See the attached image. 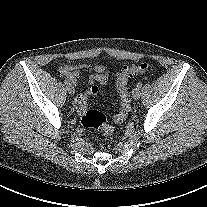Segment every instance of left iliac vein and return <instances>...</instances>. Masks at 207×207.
Listing matches in <instances>:
<instances>
[{
	"instance_id": "4c4485c4",
	"label": "left iliac vein",
	"mask_w": 207,
	"mask_h": 207,
	"mask_svg": "<svg viewBox=\"0 0 207 207\" xmlns=\"http://www.w3.org/2000/svg\"><path fill=\"white\" fill-rule=\"evenodd\" d=\"M140 95H141V92H140V89L139 88L133 89V91H132V97L135 100L139 99Z\"/></svg>"
}]
</instances>
